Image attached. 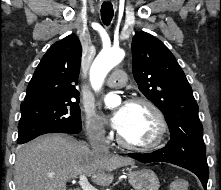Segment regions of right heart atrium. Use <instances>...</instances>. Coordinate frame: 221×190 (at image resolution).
I'll list each match as a JSON object with an SVG mask.
<instances>
[{
  "instance_id": "1",
  "label": "right heart atrium",
  "mask_w": 221,
  "mask_h": 190,
  "mask_svg": "<svg viewBox=\"0 0 221 190\" xmlns=\"http://www.w3.org/2000/svg\"><path fill=\"white\" fill-rule=\"evenodd\" d=\"M83 125L88 138L93 142L106 143L108 133L101 120L93 108L85 107L83 110Z\"/></svg>"
}]
</instances>
